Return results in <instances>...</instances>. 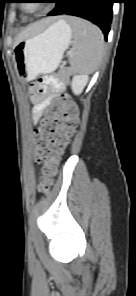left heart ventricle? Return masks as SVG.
Here are the masks:
<instances>
[{"instance_id": "b2bd125f", "label": "left heart ventricle", "mask_w": 136, "mask_h": 296, "mask_svg": "<svg viewBox=\"0 0 136 296\" xmlns=\"http://www.w3.org/2000/svg\"><path fill=\"white\" fill-rule=\"evenodd\" d=\"M36 3H26V8L31 10V9H34V6H35Z\"/></svg>"}]
</instances>
